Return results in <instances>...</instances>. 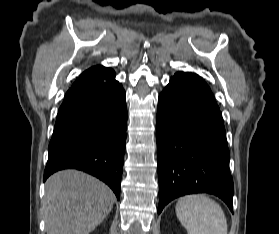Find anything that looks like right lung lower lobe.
<instances>
[{"mask_svg": "<svg viewBox=\"0 0 279 234\" xmlns=\"http://www.w3.org/2000/svg\"><path fill=\"white\" fill-rule=\"evenodd\" d=\"M110 68L94 66L67 91L50 141L44 181L62 169L85 171L119 200L127 128L126 93Z\"/></svg>", "mask_w": 279, "mask_h": 234, "instance_id": "right-lung-lower-lobe-1", "label": "right lung lower lobe"}]
</instances>
